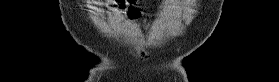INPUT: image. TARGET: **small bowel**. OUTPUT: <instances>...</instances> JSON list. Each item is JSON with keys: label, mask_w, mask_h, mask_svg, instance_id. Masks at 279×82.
I'll list each match as a JSON object with an SVG mask.
<instances>
[{"label": "small bowel", "mask_w": 279, "mask_h": 82, "mask_svg": "<svg viewBox=\"0 0 279 82\" xmlns=\"http://www.w3.org/2000/svg\"><path fill=\"white\" fill-rule=\"evenodd\" d=\"M135 2L133 0H105V1H94L93 7L94 8H103L108 11H114L117 9H123L125 7L133 6ZM162 11L166 10L165 6L162 7Z\"/></svg>", "instance_id": "obj_1"}]
</instances>
